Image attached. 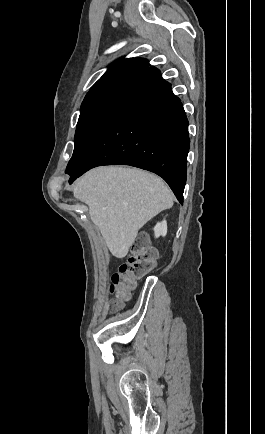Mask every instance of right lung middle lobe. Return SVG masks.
Masks as SVG:
<instances>
[{"label": "right lung middle lobe", "instance_id": "dd1d6c3e", "mask_svg": "<svg viewBox=\"0 0 265 434\" xmlns=\"http://www.w3.org/2000/svg\"><path fill=\"white\" fill-rule=\"evenodd\" d=\"M134 76L119 75L96 82L85 96L75 133V147L67 169L86 154L120 94Z\"/></svg>", "mask_w": 265, "mask_h": 434}]
</instances>
